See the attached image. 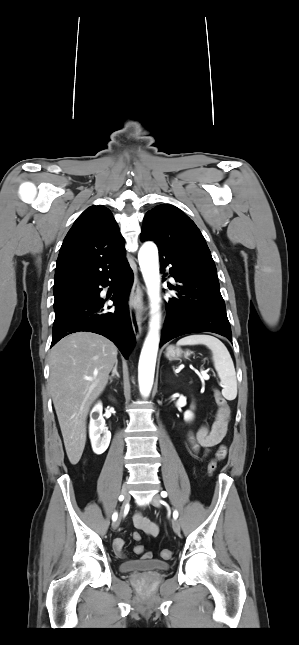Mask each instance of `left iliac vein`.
I'll use <instances>...</instances> for the list:
<instances>
[{"mask_svg":"<svg viewBox=\"0 0 299 645\" xmlns=\"http://www.w3.org/2000/svg\"><path fill=\"white\" fill-rule=\"evenodd\" d=\"M151 503L155 507H160L161 506V497L158 494L154 495L152 500H151ZM172 528H173V531L176 534L180 533V523L175 518L172 520Z\"/></svg>","mask_w":299,"mask_h":645,"instance_id":"4c4485c4","label":"left iliac vein"}]
</instances>
